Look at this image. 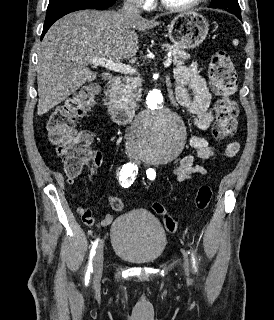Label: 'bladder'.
Returning <instances> with one entry per match:
<instances>
[{
  "mask_svg": "<svg viewBox=\"0 0 274 320\" xmlns=\"http://www.w3.org/2000/svg\"><path fill=\"white\" fill-rule=\"evenodd\" d=\"M111 243L114 253L121 259L132 264L150 265L163 256L167 236L154 215L132 209L113 221Z\"/></svg>",
  "mask_w": 274,
  "mask_h": 320,
  "instance_id": "bladder-1",
  "label": "bladder"
}]
</instances>
